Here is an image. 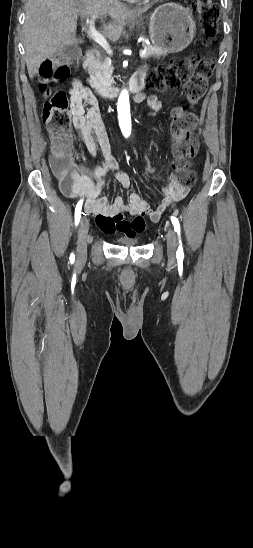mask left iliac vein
I'll return each instance as SVG.
<instances>
[{"instance_id": "left-iliac-vein-1", "label": "left iliac vein", "mask_w": 253, "mask_h": 548, "mask_svg": "<svg viewBox=\"0 0 253 548\" xmlns=\"http://www.w3.org/2000/svg\"><path fill=\"white\" fill-rule=\"evenodd\" d=\"M167 254L170 259H175L176 256V234L172 228H169L166 234Z\"/></svg>"}]
</instances>
